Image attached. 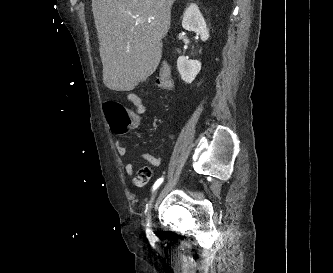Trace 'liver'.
<instances>
[{"label":"liver","mask_w":333,"mask_h":273,"mask_svg":"<svg viewBox=\"0 0 333 273\" xmlns=\"http://www.w3.org/2000/svg\"><path fill=\"white\" fill-rule=\"evenodd\" d=\"M175 0H92L103 83L131 91L157 69Z\"/></svg>","instance_id":"6515ba94"}]
</instances>
